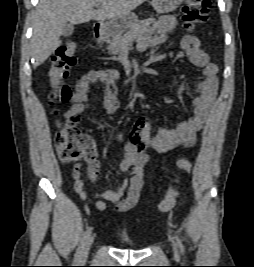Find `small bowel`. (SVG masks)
Returning <instances> with one entry per match:
<instances>
[{
	"label": "small bowel",
	"instance_id": "c3829d8e",
	"mask_svg": "<svg viewBox=\"0 0 254 267\" xmlns=\"http://www.w3.org/2000/svg\"><path fill=\"white\" fill-rule=\"evenodd\" d=\"M175 27L176 19L172 15L159 17L154 22L151 33L139 48L145 50L148 47L160 45L165 41V34ZM183 56H187L193 65L202 69L201 78L196 83L198 95L193 101V115L174 128L158 127L156 130L151 118L139 117L133 125L130 140L124 147V157L120 163V171L130 170L131 176L120 182L113 190L90 194L85 189L81 167L76 165L73 169L74 189L83 201L94 202L99 210H104L106 203L110 202L116 204L119 211H128L137 204L143 186V167L148 159L143 149L167 153L177 147L195 145L197 132L203 128L216 97L218 68L209 61L199 39L193 35H186L181 41V51L178 52L177 58ZM118 76L119 73L115 69L85 73L76 84L75 92L71 97V107L66 117L77 116L89 109V92L91 85L95 83H102L104 86L102 105L105 112L108 115L115 113L120 107L115 85ZM172 101L171 97H165V102L171 103ZM98 168L97 158L89 162V180L96 179ZM125 193L126 197H124Z\"/></svg>",
	"mask_w": 254,
	"mask_h": 267
}]
</instances>
